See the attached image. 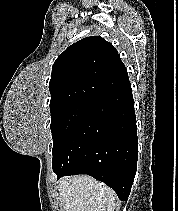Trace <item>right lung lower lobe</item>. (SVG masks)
<instances>
[{"label": "right lung lower lobe", "mask_w": 178, "mask_h": 211, "mask_svg": "<svg viewBox=\"0 0 178 211\" xmlns=\"http://www.w3.org/2000/svg\"><path fill=\"white\" fill-rule=\"evenodd\" d=\"M131 84L99 99L53 152V171L87 174L127 200L137 169L138 139Z\"/></svg>", "instance_id": "1"}]
</instances>
